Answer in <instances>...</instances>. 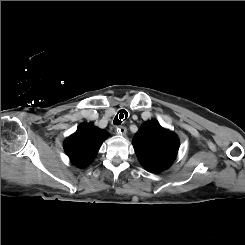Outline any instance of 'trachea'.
Listing matches in <instances>:
<instances>
[{"instance_id": "trachea-1", "label": "trachea", "mask_w": 245, "mask_h": 245, "mask_svg": "<svg viewBox=\"0 0 245 245\" xmlns=\"http://www.w3.org/2000/svg\"><path fill=\"white\" fill-rule=\"evenodd\" d=\"M128 117V112L124 109L120 110L115 116L113 123L115 125H120Z\"/></svg>"}]
</instances>
